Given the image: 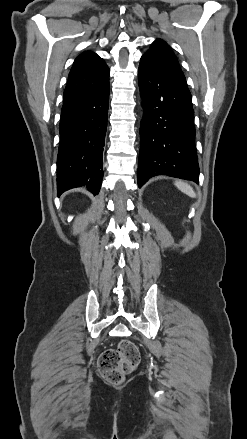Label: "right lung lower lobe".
Segmentation results:
<instances>
[{
	"label": "right lung lower lobe",
	"mask_w": 247,
	"mask_h": 439,
	"mask_svg": "<svg viewBox=\"0 0 247 439\" xmlns=\"http://www.w3.org/2000/svg\"><path fill=\"white\" fill-rule=\"evenodd\" d=\"M109 82L101 88L63 99L59 125L57 194L87 185L98 194L103 178Z\"/></svg>",
	"instance_id": "98d812e1"
}]
</instances>
